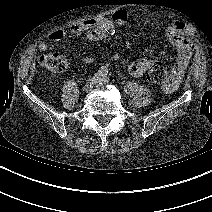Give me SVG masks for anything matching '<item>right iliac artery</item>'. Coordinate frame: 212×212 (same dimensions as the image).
I'll list each match as a JSON object with an SVG mask.
<instances>
[{"label":"right iliac artery","mask_w":212,"mask_h":212,"mask_svg":"<svg viewBox=\"0 0 212 212\" xmlns=\"http://www.w3.org/2000/svg\"><path fill=\"white\" fill-rule=\"evenodd\" d=\"M108 73V70L105 67L99 69L98 74L102 77H105Z\"/></svg>","instance_id":"1"}]
</instances>
